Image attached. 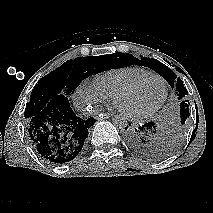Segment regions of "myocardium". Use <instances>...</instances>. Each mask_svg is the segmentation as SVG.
<instances>
[{"instance_id":"myocardium-1","label":"myocardium","mask_w":213,"mask_h":213,"mask_svg":"<svg viewBox=\"0 0 213 213\" xmlns=\"http://www.w3.org/2000/svg\"><path fill=\"white\" fill-rule=\"evenodd\" d=\"M148 78H157L162 82L163 96H162V99L160 100V102L158 104H156L155 106H153L152 108H150L146 111L140 112V113H131V112H127V111L123 110L120 106V101L125 96H127L132 91H134L143 81H145ZM167 94H168V89H167L166 80L161 75L154 73V72H150L148 74L138 77L137 79H135L131 83H129L127 86H125L123 89H121L114 97V104L117 107V109L126 117H128L130 119H144V118H148V117L154 115L163 106L164 102L166 101Z\"/></svg>"}]
</instances>
